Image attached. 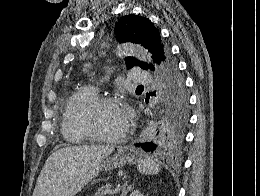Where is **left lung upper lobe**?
Here are the masks:
<instances>
[{"instance_id": "5c2ea615", "label": "left lung upper lobe", "mask_w": 260, "mask_h": 196, "mask_svg": "<svg viewBox=\"0 0 260 196\" xmlns=\"http://www.w3.org/2000/svg\"><path fill=\"white\" fill-rule=\"evenodd\" d=\"M115 33L119 42L141 44L150 53L154 63L160 66L164 79L159 117L155 125L145 131V137L156 145L157 151H178L185 138L188 123V97L184 81L168 47L161 40L159 30L147 18L126 15L118 20ZM128 68L139 66L154 70L153 65L133 57L126 58Z\"/></svg>"}]
</instances>
